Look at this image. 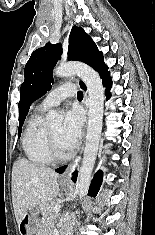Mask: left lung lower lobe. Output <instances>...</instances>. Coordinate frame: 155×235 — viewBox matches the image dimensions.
<instances>
[{
  "label": "left lung lower lobe",
  "instance_id": "0a47b994",
  "mask_svg": "<svg viewBox=\"0 0 155 235\" xmlns=\"http://www.w3.org/2000/svg\"><path fill=\"white\" fill-rule=\"evenodd\" d=\"M99 75L102 78L103 86L106 87V90H105L106 98L109 99L110 98V91L109 90L112 87V80H111L107 65L104 66L99 71ZM81 87L84 90H86L85 85L81 86ZM65 169H66V166L56 169V172L63 173ZM76 179H77V172H75L73 174L72 181L76 182ZM101 181H102V172L98 171L92 180L91 186L88 191V195H90L91 197H95L97 195V193L99 191V187L101 185Z\"/></svg>",
  "mask_w": 155,
  "mask_h": 235
}]
</instances>
